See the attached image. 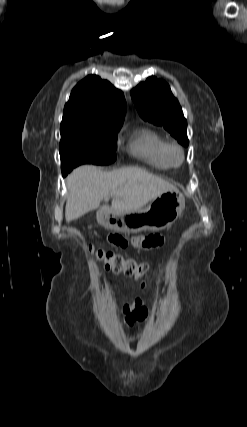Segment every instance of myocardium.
Segmentation results:
<instances>
[{
    "label": "myocardium",
    "mask_w": 247,
    "mask_h": 427,
    "mask_svg": "<svg viewBox=\"0 0 247 427\" xmlns=\"http://www.w3.org/2000/svg\"><path fill=\"white\" fill-rule=\"evenodd\" d=\"M168 156L173 165H180L184 160V151L177 144H169Z\"/></svg>",
    "instance_id": "obj_1"
}]
</instances>
